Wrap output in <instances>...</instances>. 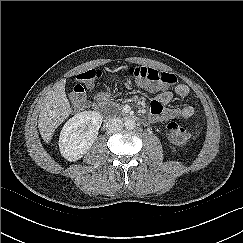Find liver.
Returning <instances> with one entry per match:
<instances>
[{
  "instance_id": "6515ba94",
  "label": "liver",
  "mask_w": 243,
  "mask_h": 243,
  "mask_svg": "<svg viewBox=\"0 0 243 243\" xmlns=\"http://www.w3.org/2000/svg\"><path fill=\"white\" fill-rule=\"evenodd\" d=\"M71 113L70 103L65 93V83H57L44 99L38 119V128L42 139L48 143L55 129Z\"/></svg>"
}]
</instances>
